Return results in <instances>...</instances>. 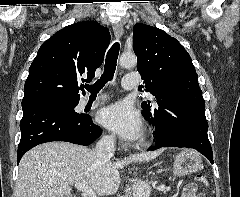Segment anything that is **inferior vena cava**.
<instances>
[{
  "instance_id": "1",
  "label": "inferior vena cava",
  "mask_w": 240,
  "mask_h": 197,
  "mask_svg": "<svg viewBox=\"0 0 240 197\" xmlns=\"http://www.w3.org/2000/svg\"><path fill=\"white\" fill-rule=\"evenodd\" d=\"M114 136H103L96 144L95 153L100 160L108 161L114 154Z\"/></svg>"
}]
</instances>
